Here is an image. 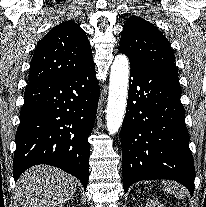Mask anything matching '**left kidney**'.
I'll use <instances>...</instances> for the list:
<instances>
[{"instance_id":"5707ae66","label":"left kidney","mask_w":206,"mask_h":207,"mask_svg":"<svg viewBox=\"0 0 206 207\" xmlns=\"http://www.w3.org/2000/svg\"><path fill=\"white\" fill-rule=\"evenodd\" d=\"M145 207H164L158 200H148Z\"/></svg>"}]
</instances>
